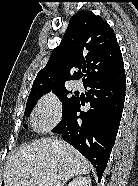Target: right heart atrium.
<instances>
[{
  "label": "right heart atrium",
  "instance_id": "d8ad5b80",
  "mask_svg": "<svg viewBox=\"0 0 138 186\" xmlns=\"http://www.w3.org/2000/svg\"><path fill=\"white\" fill-rule=\"evenodd\" d=\"M62 117V103L59 97L49 92L42 96L35 107V126L41 131L53 128Z\"/></svg>",
  "mask_w": 138,
  "mask_h": 186
}]
</instances>
